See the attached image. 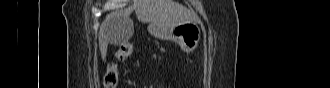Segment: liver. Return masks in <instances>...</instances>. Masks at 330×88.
I'll use <instances>...</instances> for the list:
<instances>
[{
	"label": "liver",
	"mask_w": 330,
	"mask_h": 88,
	"mask_svg": "<svg viewBox=\"0 0 330 88\" xmlns=\"http://www.w3.org/2000/svg\"><path fill=\"white\" fill-rule=\"evenodd\" d=\"M135 10L137 19L150 23L149 28L157 25H175L196 20V15L174 0H135L128 9L108 14L99 30V45L103 56L109 43H116L114 24L122 21L132 22L130 14ZM133 24V23H132Z\"/></svg>",
	"instance_id": "obj_1"
}]
</instances>
